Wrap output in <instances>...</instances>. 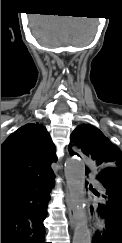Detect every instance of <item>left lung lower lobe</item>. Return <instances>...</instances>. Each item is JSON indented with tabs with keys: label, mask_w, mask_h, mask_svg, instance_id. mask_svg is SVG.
Returning <instances> with one entry per match:
<instances>
[{
	"label": "left lung lower lobe",
	"mask_w": 122,
	"mask_h": 243,
	"mask_svg": "<svg viewBox=\"0 0 122 243\" xmlns=\"http://www.w3.org/2000/svg\"><path fill=\"white\" fill-rule=\"evenodd\" d=\"M89 172L86 167V174ZM97 172L101 192L90 188L96 200L90 210L104 220L105 228L95 232L92 243H122V216L118 213L122 207V168L110 167Z\"/></svg>",
	"instance_id": "0a47b994"
}]
</instances>
